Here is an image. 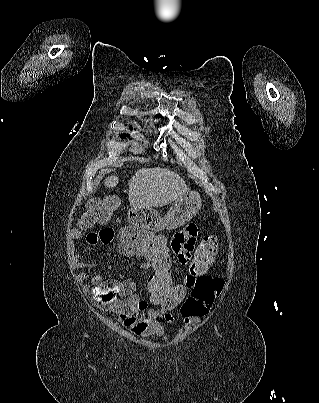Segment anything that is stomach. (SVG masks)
Masks as SVG:
<instances>
[{
  "instance_id": "0dacf381",
  "label": "stomach",
  "mask_w": 319,
  "mask_h": 403,
  "mask_svg": "<svg viewBox=\"0 0 319 403\" xmlns=\"http://www.w3.org/2000/svg\"><path fill=\"white\" fill-rule=\"evenodd\" d=\"M201 207L200 195L189 192L182 198L177 199L165 217L161 212L153 209H130L127 222L132 226H139L146 233L161 234L162 229H175L190 221Z\"/></svg>"
}]
</instances>
